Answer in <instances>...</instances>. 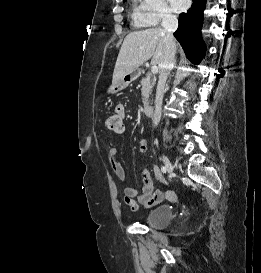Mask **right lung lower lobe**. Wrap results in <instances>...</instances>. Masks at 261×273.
<instances>
[{
    "mask_svg": "<svg viewBox=\"0 0 261 273\" xmlns=\"http://www.w3.org/2000/svg\"><path fill=\"white\" fill-rule=\"evenodd\" d=\"M193 4L187 13H181L179 27L174 33L185 51L187 58L199 64L204 56L205 47L201 38V25L206 0H192Z\"/></svg>",
    "mask_w": 261,
    "mask_h": 273,
    "instance_id": "obj_1",
    "label": "right lung lower lobe"
}]
</instances>
